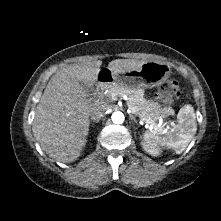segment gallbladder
I'll return each mask as SVG.
<instances>
[{"instance_id": "gallbladder-1", "label": "gallbladder", "mask_w": 221, "mask_h": 221, "mask_svg": "<svg viewBox=\"0 0 221 221\" xmlns=\"http://www.w3.org/2000/svg\"><path fill=\"white\" fill-rule=\"evenodd\" d=\"M83 88L88 95H92L95 90L93 86L88 85H83Z\"/></svg>"}]
</instances>
